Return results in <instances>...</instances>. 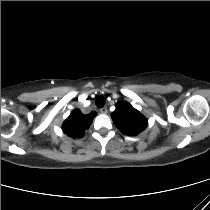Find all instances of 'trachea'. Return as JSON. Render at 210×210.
I'll list each match as a JSON object with an SVG mask.
<instances>
[{
  "instance_id": "1",
  "label": "trachea",
  "mask_w": 210,
  "mask_h": 210,
  "mask_svg": "<svg viewBox=\"0 0 210 210\" xmlns=\"http://www.w3.org/2000/svg\"><path fill=\"white\" fill-rule=\"evenodd\" d=\"M105 103H106V99L104 96L99 95L96 97L95 104L97 107L102 108L105 105Z\"/></svg>"
}]
</instances>
